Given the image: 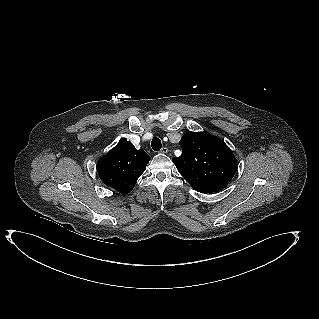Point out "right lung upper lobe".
<instances>
[{"mask_svg":"<svg viewBox=\"0 0 319 319\" xmlns=\"http://www.w3.org/2000/svg\"><path fill=\"white\" fill-rule=\"evenodd\" d=\"M150 156L123 139L97 164L101 180L121 194L129 193L144 172Z\"/></svg>","mask_w":319,"mask_h":319,"instance_id":"1","label":"right lung upper lobe"}]
</instances>
